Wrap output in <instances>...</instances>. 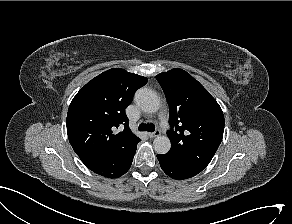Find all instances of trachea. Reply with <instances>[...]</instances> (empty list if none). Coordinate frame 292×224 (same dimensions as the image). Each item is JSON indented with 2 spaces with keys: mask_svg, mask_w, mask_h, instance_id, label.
<instances>
[{
  "mask_svg": "<svg viewBox=\"0 0 292 224\" xmlns=\"http://www.w3.org/2000/svg\"><path fill=\"white\" fill-rule=\"evenodd\" d=\"M139 131H148V132H154L155 131V125L152 123L144 124L141 123L138 127Z\"/></svg>",
  "mask_w": 292,
  "mask_h": 224,
  "instance_id": "3493384b",
  "label": "trachea"
}]
</instances>
